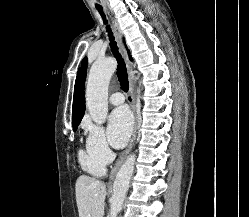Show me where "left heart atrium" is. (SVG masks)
<instances>
[{"label":"left heart atrium","mask_w":249,"mask_h":217,"mask_svg":"<svg viewBox=\"0 0 249 217\" xmlns=\"http://www.w3.org/2000/svg\"><path fill=\"white\" fill-rule=\"evenodd\" d=\"M132 116L126 107L116 108L109 117L108 136L114 147H123L132 131Z\"/></svg>","instance_id":"left-heart-atrium-1"}]
</instances>
